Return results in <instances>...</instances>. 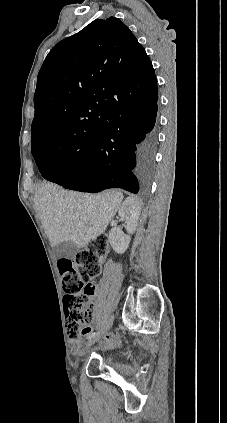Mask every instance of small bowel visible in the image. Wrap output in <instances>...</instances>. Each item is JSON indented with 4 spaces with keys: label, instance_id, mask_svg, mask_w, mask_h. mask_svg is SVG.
I'll list each match as a JSON object with an SVG mask.
<instances>
[{
    "label": "small bowel",
    "instance_id": "obj_1",
    "mask_svg": "<svg viewBox=\"0 0 227 423\" xmlns=\"http://www.w3.org/2000/svg\"><path fill=\"white\" fill-rule=\"evenodd\" d=\"M92 288H93V292H92V294H93L94 293V290H95V287L92 285ZM90 330H91V328L89 326H86L83 329V331H82L81 334L82 335H88L90 333ZM107 340L108 341H113V339L111 337H108ZM79 348H80V339L79 338H76V339L72 340L71 341V350H72V352L73 353H77L78 350H79Z\"/></svg>",
    "mask_w": 227,
    "mask_h": 423
}]
</instances>
